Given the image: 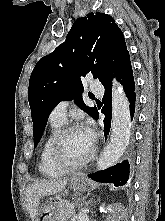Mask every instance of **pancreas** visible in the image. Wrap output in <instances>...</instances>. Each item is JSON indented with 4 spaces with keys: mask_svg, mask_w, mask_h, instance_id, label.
I'll return each mask as SVG.
<instances>
[{
    "mask_svg": "<svg viewBox=\"0 0 165 221\" xmlns=\"http://www.w3.org/2000/svg\"><path fill=\"white\" fill-rule=\"evenodd\" d=\"M67 204V201H61L57 204V210L59 211V215L57 216L61 221H66L73 214V210Z\"/></svg>",
    "mask_w": 165,
    "mask_h": 221,
    "instance_id": "obj_1",
    "label": "pancreas"
}]
</instances>
